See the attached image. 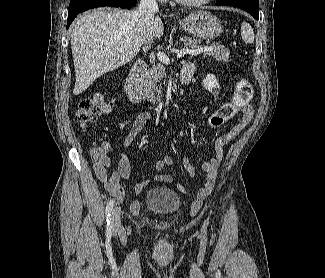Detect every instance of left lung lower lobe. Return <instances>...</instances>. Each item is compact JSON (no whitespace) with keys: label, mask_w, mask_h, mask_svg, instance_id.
I'll use <instances>...</instances> for the list:
<instances>
[{"label":"left lung lower lobe","mask_w":325,"mask_h":278,"mask_svg":"<svg viewBox=\"0 0 325 278\" xmlns=\"http://www.w3.org/2000/svg\"><path fill=\"white\" fill-rule=\"evenodd\" d=\"M215 5L238 7L259 19V0H217Z\"/></svg>","instance_id":"left-lung-lower-lobe-1"}]
</instances>
